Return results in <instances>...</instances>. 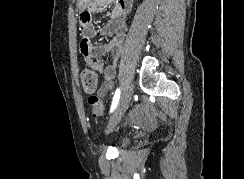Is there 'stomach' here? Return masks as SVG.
Wrapping results in <instances>:
<instances>
[{"label":"stomach","mask_w":244,"mask_h":179,"mask_svg":"<svg viewBox=\"0 0 244 179\" xmlns=\"http://www.w3.org/2000/svg\"><path fill=\"white\" fill-rule=\"evenodd\" d=\"M80 3H78V8H85V3H87L88 0H79ZM82 12V11H81Z\"/></svg>","instance_id":"obj_1"}]
</instances>
